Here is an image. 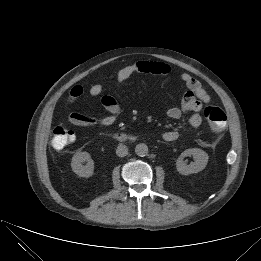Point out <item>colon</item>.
<instances>
[{"label": "colon", "mask_w": 261, "mask_h": 261, "mask_svg": "<svg viewBox=\"0 0 261 261\" xmlns=\"http://www.w3.org/2000/svg\"><path fill=\"white\" fill-rule=\"evenodd\" d=\"M204 116L210 127L216 132H221L226 125V114L216 105H209L204 109ZM74 133L64 126H57L53 130L52 146L55 149H63L74 142Z\"/></svg>", "instance_id": "colon-1"}]
</instances>
